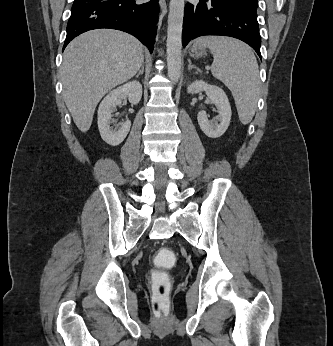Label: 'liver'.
<instances>
[{
    "label": "liver",
    "instance_id": "liver-1",
    "mask_svg": "<svg viewBox=\"0 0 333 346\" xmlns=\"http://www.w3.org/2000/svg\"><path fill=\"white\" fill-rule=\"evenodd\" d=\"M144 61L143 46L133 36L96 29L66 47L62 63L63 98L76 124L87 132L101 98L131 79Z\"/></svg>",
    "mask_w": 333,
    "mask_h": 346
}]
</instances>
